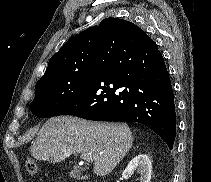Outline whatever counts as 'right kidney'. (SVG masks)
<instances>
[{"label":"right kidney","instance_id":"1","mask_svg":"<svg viewBox=\"0 0 211 182\" xmlns=\"http://www.w3.org/2000/svg\"><path fill=\"white\" fill-rule=\"evenodd\" d=\"M137 171L140 174V182H150L152 174V164L146 154H139L130 161L126 169L124 170L122 177L127 179Z\"/></svg>","mask_w":211,"mask_h":182}]
</instances>
